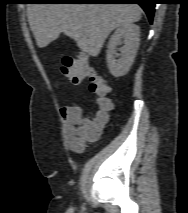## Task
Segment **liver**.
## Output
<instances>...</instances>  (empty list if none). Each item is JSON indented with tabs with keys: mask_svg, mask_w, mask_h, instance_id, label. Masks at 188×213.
<instances>
[{
	"mask_svg": "<svg viewBox=\"0 0 188 213\" xmlns=\"http://www.w3.org/2000/svg\"><path fill=\"white\" fill-rule=\"evenodd\" d=\"M137 4H29L28 22L38 47L44 48L61 33L83 52L96 57L116 28L141 19Z\"/></svg>",
	"mask_w": 188,
	"mask_h": 213,
	"instance_id": "1",
	"label": "liver"
}]
</instances>
